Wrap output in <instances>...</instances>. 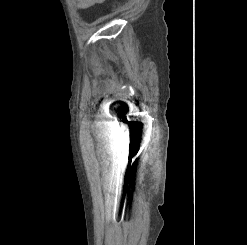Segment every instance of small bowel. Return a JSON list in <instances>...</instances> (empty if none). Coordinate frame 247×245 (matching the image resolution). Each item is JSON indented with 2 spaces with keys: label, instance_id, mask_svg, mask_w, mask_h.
Returning <instances> with one entry per match:
<instances>
[{
  "label": "small bowel",
  "instance_id": "small-bowel-1",
  "mask_svg": "<svg viewBox=\"0 0 247 245\" xmlns=\"http://www.w3.org/2000/svg\"><path fill=\"white\" fill-rule=\"evenodd\" d=\"M74 1L78 8L87 9L98 3H102L104 0H74Z\"/></svg>",
  "mask_w": 247,
  "mask_h": 245
}]
</instances>
